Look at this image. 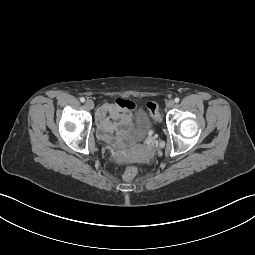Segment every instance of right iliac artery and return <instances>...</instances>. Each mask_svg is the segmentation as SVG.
<instances>
[{"instance_id": "right-iliac-artery-1", "label": "right iliac artery", "mask_w": 255, "mask_h": 255, "mask_svg": "<svg viewBox=\"0 0 255 255\" xmlns=\"http://www.w3.org/2000/svg\"><path fill=\"white\" fill-rule=\"evenodd\" d=\"M80 101H81L82 103L85 102L84 97H81V98H80Z\"/></svg>"}]
</instances>
